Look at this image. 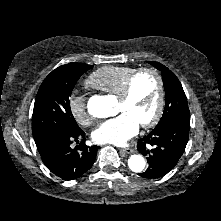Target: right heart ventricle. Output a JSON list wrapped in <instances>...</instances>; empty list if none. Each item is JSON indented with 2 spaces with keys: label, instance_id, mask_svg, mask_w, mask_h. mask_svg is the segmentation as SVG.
Listing matches in <instances>:
<instances>
[{
  "label": "right heart ventricle",
  "instance_id": "1",
  "mask_svg": "<svg viewBox=\"0 0 221 221\" xmlns=\"http://www.w3.org/2000/svg\"><path fill=\"white\" fill-rule=\"evenodd\" d=\"M135 71L125 66H105L93 72L86 80L88 87L117 96L128 78Z\"/></svg>",
  "mask_w": 221,
  "mask_h": 221
}]
</instances>
